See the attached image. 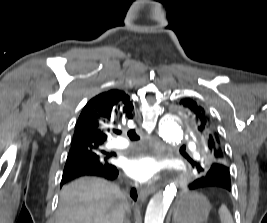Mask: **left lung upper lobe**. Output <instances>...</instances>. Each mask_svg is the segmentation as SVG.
Returning a JSON list of instances; mask_svg holds the SVG:
<instances>
[{
	"instance_id": "5c2ea615",
	"label": "left lung upper lobe",
	"mask_w": 267,
	"mask_h": 223,
	"mask_svg": "<svg viewBox=\"0 0 267 223\" xmlns=\"http://www.w3.org/2000/svg\"><path fill=\"white\" fill-rule=\"evenodd\" d=\"M187 126L201 148V158L191 163L195 171H226L229 173L228 157L216 123L210 113L196 101L183 98L175 103Z\"/></svg>"
}]
</instances>
